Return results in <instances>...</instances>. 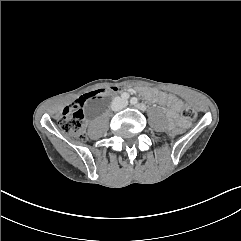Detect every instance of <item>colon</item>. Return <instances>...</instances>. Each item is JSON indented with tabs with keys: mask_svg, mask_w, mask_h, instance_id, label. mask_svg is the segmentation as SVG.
I'll return each instance as SVG.
<instances>
[{
	"mask_svg": "<svg viewBox=\"0 0 241 241\" xmlns=\"http://www.w3.org/2000/svg\"><path fill=\"white\" fill-rule=\"evenodd\" d=\"M117 87H106L102 89L95 90L93 92L85 94L79 102L74 103L68 106L63 115L59 119L60 129L78 140L86 139V125H85V116L83 111L80 108V104L87 99L97 98L105 96L109 93L115 92ZM182 116L186 120H193L196 118L197 113L194 108L189 105H185L182 110ZM169 136L180 137L185 134V129L183 127H171L168 130Z\"/></svg>",
	"mask_w": 241,
	"mask_h": 241,
	"instance_id": "obj_1",
	"label": "colon"
}]
</instances>
